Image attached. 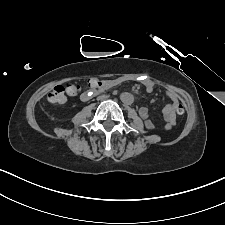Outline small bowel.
<instances>
[{"label": "small bowel", "instance_id": "small-bowel-1", "mask_svg": "<svg viewBox=\"0 0 225 225\" xmlns=\"http://www.w3.org/2000/svg\"><path fill=\"white\" fill-rule=\"evenodd\" d=\"M91 81H94L95 84L91 87H89L90 90H96L98 88H101L103 86L111 85V81H101L97 78L90 79ZM145 88L147 92H152L154 87L151 83L145 84ZM165 94L171 99V103L167 104L162 109V116L165 121V129H171L176 124V108L178 105L181 104L180 97L172 90L165 89ZM91 92L87 91L85 92L81 99L86 101L90 98ZM139 115L142 117V119L145 122V126L148 129L154 128V122L150 118L149 110L147 107L142 106L139 108Z\"/></svg>", "mask_w": 225, "mask_h": 225}]
</instances>
